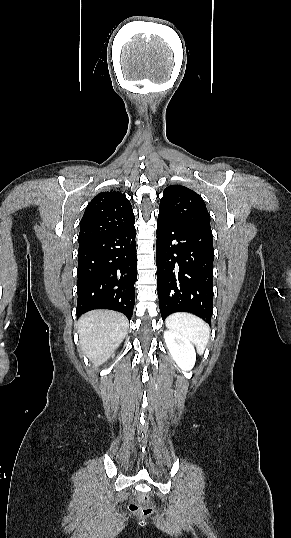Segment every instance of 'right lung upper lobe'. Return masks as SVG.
Returning <instances> with one entry per match:
<instances>
[{"instance_id":"obj_1","label":"right lung upper lobe","mask_w":291,"mask_h":538,"mask_svg":"<svg viewBox=\"0 0 291 538\" xmlns=\"http://www.w3.org/2000/svg\"><path fill=\"white\" fill-rule=\"evenodd\" d=\"M135 222L130 201L118 191L96 195L80 221L79 244L118 232Z\"/></svg>"}]
</instances>
